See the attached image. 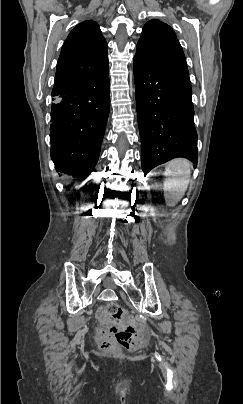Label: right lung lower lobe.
Here are the masks:
<instances>
[{"mask_svg": "<svg viewBox=\"0 0 243 404\" xmlns=\"http://www.w3.org/2000/svg\"><path fill=\"white\" fill-rule=\"evenodd\" d=\"M109 69L52 93L51 158L57 171L86 179L98 161L110 109Z\"/></svg>", "mask_w": 243, "mask_h": 404, "instance_id": "right-lung-lower-lobe-1", "label": "right lung lower lobe"}]
</instances>
